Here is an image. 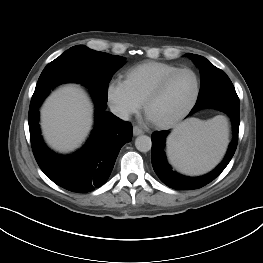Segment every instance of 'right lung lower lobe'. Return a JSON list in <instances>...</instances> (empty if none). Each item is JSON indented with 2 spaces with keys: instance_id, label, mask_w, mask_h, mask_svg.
Returning <instances> with one entry per match:
<instances>
[{
  "instance_id": "1",
  "label": "right lung lower lobe",
  "mask_w": 263,
  "mask_h": 263,
  "mask_svg": "<svg viewBox=\"0 0 263 263\" xmlns=\"http://www.w3.org/2000/svg\"><path fill=\"white\" fill-rule=\"evenodd\" d=\"M49 92L33 95L28 114L31 145L39 167L69 191L86 193L99 188L110 176L120 148L131 141L132 125L105 111L106 103L91 92L96 106L91 137L72 155H58L44 144L38 124V109Z\"/></svg>"
}]
</instances>
